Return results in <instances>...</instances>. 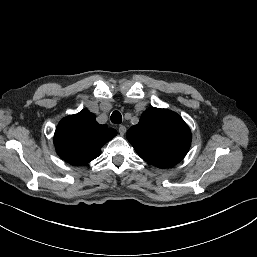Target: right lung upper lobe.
<instances>
[{
	"mask_svg": "<svg viewBox=\"0 0 257 257\" xmlns=\"http://www.w3.org/2000/svg\"><path fill=\"white\" fill-rule=\"evenodd\" d=\"M116 134L115 129L98 124L96 116L84 109L60 121L54 144L63 160L72 165H84L97 158L102 146Z\"/></svg>",
	"mask_w": 257,
	"mask_h": 257,
	"instance_id": "right-lung-upper-lobe-1",
	"label": "right lung upper lobe"
}]
</instances>
